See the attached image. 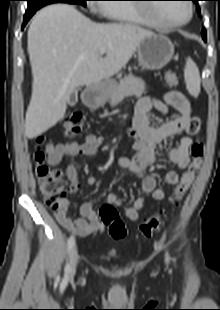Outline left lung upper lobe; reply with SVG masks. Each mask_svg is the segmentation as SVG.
<instances>
[{
	"label": "left lung upper lobe",
	"instance_id": "5c2ea615",
	"mask_svg": "<svg viewBox=\"0 0 220 310\" xmlns=\"http://www.w3.org/2000/svg\"><path fill=\"white\" fill-rule=\"evenodd\" d=\"M194 3H197L199 0H192ZM197 10L199 11V7H197ZM202 36H203V39L204 41H206V30L203 29L202 30Z\"/></svg>",
	"mask_w": 220,
	"mask_h": 310
}]
</instances>
